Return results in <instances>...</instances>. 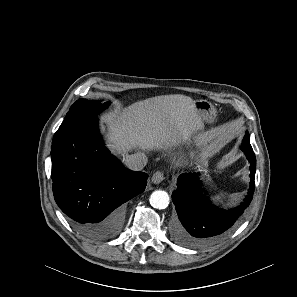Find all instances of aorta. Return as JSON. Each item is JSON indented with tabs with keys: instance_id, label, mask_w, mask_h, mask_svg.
Segmentation results:
<instances>
[{
	"instance_id": "762f6f07",
	"label": "aorta",
	"mask_w": 297,
	"mask_h": 297,
	"mask_svg": "<svg viewBox=\"0 0 297 297\" xmlns=\"http://www.w3.org/2000/svg\"><path fill=\"white\" fill-rule=\"evenodd\" d=\"M169 195L162 190L154 191L150 196V204L156 209H165L169 205Z\"/></svg>"
}]
</instances>
